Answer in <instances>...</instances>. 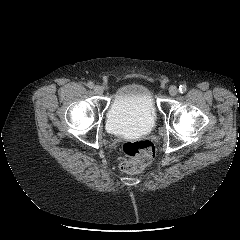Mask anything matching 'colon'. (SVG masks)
I'll return each mask as SVG.
<instances>
[{
	"mask_svg": "<svg viewBox=\"0 0 240 240\" xmlns=\"http://www.w3.org/2000/svg\"><path fill=\"white\" fill-rule=\"evenodd\" d=\"M121 150L126 157L121 163V169L131 174L143 171L155 156V147L147 140L124 142Z\"/></svg>",
	"mask_w": 240,
	"mask_h": 240,
	"instance_id": "1",
	"label": "colon"
}]
</instances>
